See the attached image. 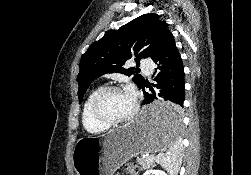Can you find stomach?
<instances>
[{
  "label": "stomach",
  "instance_id": "0dacf381",
  "mask_svg": "<svg viewBox=\"0 0 251 175\" xmlns=\"http://www.w3.org/2000/svg\"><path fill=\"white\" fill-rule=\"evenodd\" d=\"M178 106L170 105V100H155L154 107H143L138 117L116 127L105 135H84L76 141L72 151V163L76 175H113L114 171L137 154H154L169 148L168 141H177L182 124Z\"/></svg>",
  "mask_w": 251,
  "mask_h": 175
}]
</instances>
